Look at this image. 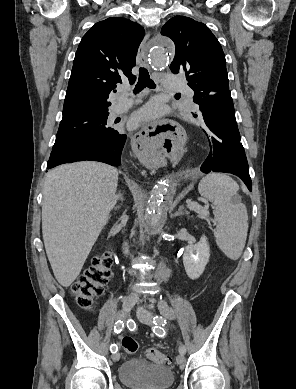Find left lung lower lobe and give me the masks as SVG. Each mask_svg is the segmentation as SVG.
Masks as SVG:
<instances>
[{"mask_svg": "<svg viewBox=\"0 0 296 389\" xmlns=\"http://www.w3.org/2000/svg\"><path fill=\"white\" fill-rule=\"evenodd\" d=\"M208 102L201 109L205 123L204 133L209 144V154L201 165L204 173L225 172L238 176L252 190L249 167L235 119L231 93L220 92L207 96Z\"/></svg>", "mask_w": 296, "mask_h": 389, "instance_id": "obj_1", "label": "left lung lower lobe"}]
</instances>
